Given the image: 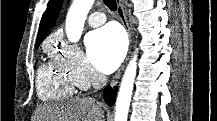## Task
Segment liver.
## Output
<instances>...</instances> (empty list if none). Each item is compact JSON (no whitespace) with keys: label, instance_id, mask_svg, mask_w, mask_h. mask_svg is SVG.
I'll list each match as a JSON object with an SVG mask.
<instances>
[{"label":"liver","instance_id":"6515ba94","mask_svg":"<svg viewBox=\"0 0 217 121\" xmlns=\"http://www.w3.org/2000/svg\"><path fill=\"white\" fill-rule=\"evenodd\" d=\"M37 121H104V112L95 99L76 97L41 107Z\"/></svg>","mask_w":217,"mask_h":121}]
</instances>
